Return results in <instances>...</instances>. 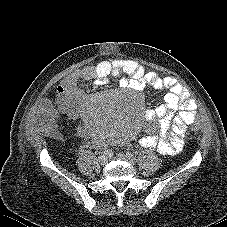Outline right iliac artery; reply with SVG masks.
Masks as SVG:
<instances>
[{"label":"right iliac artery","instance_id":"82829eb1","mask_svg":"<svg viewBox=\"0 0 227 227\" xmlns=\"http://www.w3.org/2000/svg\"><path fill=\"white\" fill-rule=\"evenodd\" d=\"M103 154H104V155H111V154H112V149H109V148L105 149V150L103 151Z\"/></svg>","mask_w":227,"mask_h":227}]
</instances>
